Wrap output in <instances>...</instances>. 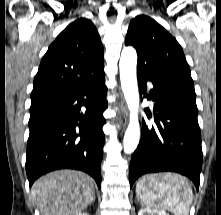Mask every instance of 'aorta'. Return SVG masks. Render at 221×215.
Returning <instances> with one entry per match:
<instances>
[{
    "label": "aorta",
    "mask_w": 221,
    "mask_h": 215,
    "mask_svg": "<svg viewBox=\"0 0 221 215\" xmlns=\"http://www.w3.org/2000/svg\"><path fill=\"white\" fill-rule=\"evenodd\" d=\"M119 67L121 87L130 111V122L124 135L123 148L126 154H131L137 148L140 138L139 91L136 76L137 53L133 47L123 48Z\"/></svg>",
    "instance_id": "1"
}]
</instances>
